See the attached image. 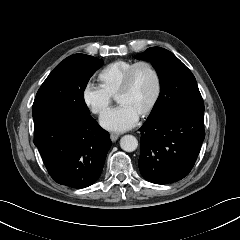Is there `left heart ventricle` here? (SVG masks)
Instances as JSON below:
<instances>
[{
  "instance_id": "b2bd125f",
  "label": "left heart ventricle",
  "mask_w": 240,
  "mask_h": 240,
  "mask_svg": "<svg viewBox=\"0 0 240 240\" xmlns=\"http://www.w3.org/2000/svg\"><path fill=\"white\" fill-rule=\"evenodd\" d=\"M155 90L153 73L147 67L141 66L134 73L130 91L120 97L118 103L129 107L139 116L150 104Z\"/></svg>"
}]
</instances>
